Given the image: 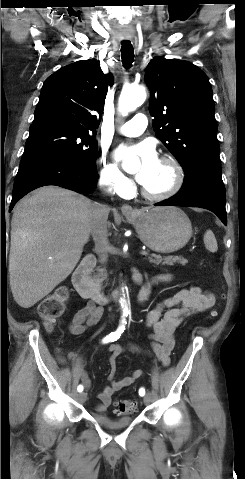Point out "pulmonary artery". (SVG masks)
<instances>
[{
  "label": "pulmonary artery",
  "instance_id": "pulmonary-artery-1",
  "mask_svg": "<svg viewBox=\"0 0 245 479\" xmlns=\"http://www.w3.org/2000/svg\"><path fill=\"white\" fill-rule=\"evenodd\" d=\"M147 127V117L138 113L132 117L128 122L119 127L120 133L126 136L134 137L144 132Z\"/></svg>",
  "mask_w": 245,
  "mask_h": 479
}]
</instances>
